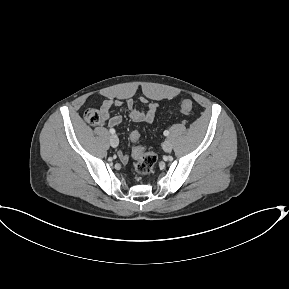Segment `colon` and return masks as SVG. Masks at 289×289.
<instances>
[{"label": "colon", "instance_id": "5ec220e1", "mask_svg": "<svg viewBox=\"0 0 289 289\" xmlns=\"http://www.w3.org/2000/svg\"><path fill=\"white\" fill-rule=\"evenodd\" d=\"M193 103L190 99H185L181 102L178 109L181 113H188L191 111ZM84 119L91 125H99L104 119L105 115L101 110L96 108H88L84 112ZM140 135L134 131L130 135L133 146V154L135 157V171L140 176H148L154 172L157 156L154 152L146 151L138 145Z\"/></svg>", "mask_w": 289, "mask_h": 289}]
</instances>
